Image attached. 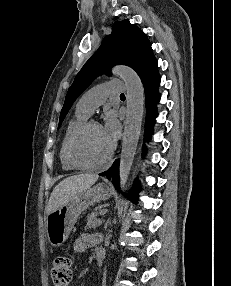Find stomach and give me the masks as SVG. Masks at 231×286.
<instances>
[{"label":"stomach","instance_id":"stomach-1","mask_svg":"<svg viewBox=\"0 0 231 286\" xmlns=\"http://www.w3.org/2000/svg\"><path fill=\"white\" fill-rule=\"evenodd\" d=\"M111 195L110 185L98 183L74 195L62 207L48 214L46 232L49 243L54 247L61 246L68 239L79 215Z\"/></svg>","mask_w":231,"mask_h":286}]
</instances>
